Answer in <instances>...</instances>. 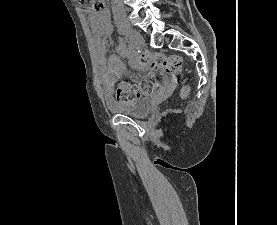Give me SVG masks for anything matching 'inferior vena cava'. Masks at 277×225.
<instances>
[{
    "label": "inferior vena cava",
    "mask_w": 277,
    "mask_h": 225,
    "mask_svg": "<svg viewBox=\"0 0 277 225\" xmlns=\"http://www.w3.org/2000/svg\"><path fill=\"white\" fill-rule=\"evenodd\" d=\"M114 7L122 8V0H111Z\"/></svg>",
    "instance_id": "inferior-vena-cava-1"
}]
</instances>
